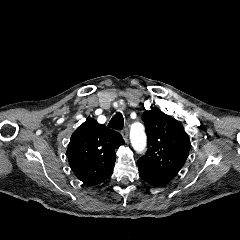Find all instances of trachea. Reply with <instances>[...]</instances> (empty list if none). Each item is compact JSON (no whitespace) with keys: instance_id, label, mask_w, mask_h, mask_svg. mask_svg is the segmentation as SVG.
I'll list each match as a JSON object with an SVG mask.
<instances>
[{"instance_id":"obj_1","label":"trachea","mask_w":240,"mask_h":240,"mask_svg":"<svg viewBox=\"0 0 240 240\" xmlns=\"http://www.w3.org/2000/svg\"><path fill=\"white\" fill-rule=\"evenodd\" d=\"M108 126L116 130H122L124 127V118L122 114L117 112L110 120Z\"/></svg>"}]
</instances>
